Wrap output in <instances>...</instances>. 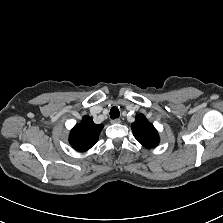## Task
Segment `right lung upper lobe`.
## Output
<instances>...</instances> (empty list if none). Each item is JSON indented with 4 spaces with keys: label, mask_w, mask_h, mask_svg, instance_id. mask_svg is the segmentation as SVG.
Segmentation results:
<instances>
[{
    "label": "right lung upper lobe",
    "mask_w": 223,
    "mask_h": 223,
    "mask_svg": "<svg viewBox=\"0 0 223 223\" xmlns=\"http://www.w3.org/2000/svg\"><path fill=\"white\" fill-rule=\"evenodd\" d=\"M103 125L95 124L91 117L84 116L70 132L69 142L78 151H87L98 141Z\"/></svg>",
    "instance_id": "cb5924a9"
}]
</instances>
